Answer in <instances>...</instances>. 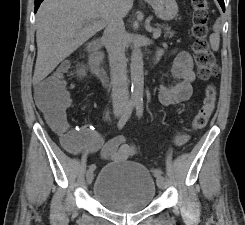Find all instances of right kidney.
<instances>
[{"instance_id": "ca27d5eb", "label": "right kidney", "mask_w": 245, "mask_h": 225, "mask_svg": "<svg viewBox=\"0 0 245 225\" xmlns=\"http://www.w3.org/2000/svg\"><path fill=\"white\" fill-rule=\"evenodd\" d=\"M85 75V69L84 68H81L80 71H79V76H84Z\"/></svg>"}]
</instances>
